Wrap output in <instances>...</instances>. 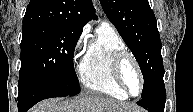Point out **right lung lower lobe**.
<instances>
[{
  "mask_svg": "<svg viewBox=\"0 0 193 112\" xmlns=\"http://www.w3.org/2000/svg\"><path fill=\"white\" fill-rule=\"evenodd\" d=\"M52 95L42 89H33L26 93L18 94V112H26L37 102L51 98Z\"/></svg>",
  "mask_w": 193,
  "mask_h": 112,
  "instance_id": "right-lung-lower-lobe-1",
  "label": "right lung lower lobe"
}]
</instances>
